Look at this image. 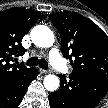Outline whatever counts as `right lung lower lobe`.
<instances>
[{"label": "right lung lower lobe", "instance_id": "right-lung-lower-lobe-1", "mask_svg": "<svg viewBox=\"0 0 108 108\" xmlns=\"http://www.w3.org/2000/svg\"><path fill=\"white\" fill-rule=\"evenodd\" d=\"M38 71L32 68L25 76L0 85V108H16L23 100L28 85L37 77Z\"/></svg>", "mask_w": 108, "mask_h": 108}]
</instances>
